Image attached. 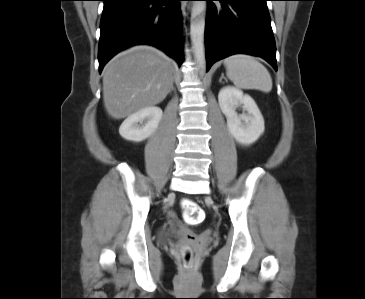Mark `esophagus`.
<instances>
[{
  "label": "esophagus",
  "mask_w": 365,
  "mask_h": 299,
  "mask_svg": "<svg viewBox=\"0 0 365 299\" xmlns=\"http://www.w3.org/2000/svg\"><path fill=\"white\" fill-rule=\"evenodd\" d=\"M191 8V6L190 5H187V9H190Z\"/></svg>",
  "instance_id": "obj_1"
}]
</instances>
